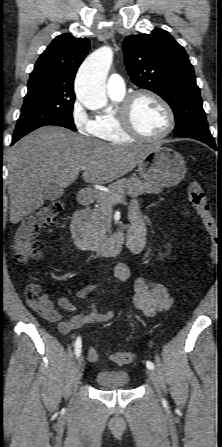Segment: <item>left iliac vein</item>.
<instances>
[{
	"label": "left iliac vein",
	"mask_w": 222,
	"mask_h": 447,
	"mask_svg": "<svg viewBox=\"0 0 222 447\" xmlns=\"http://www.w3.org/2000/svg\"><path fill=\"white\" fill-rule=\"evenodd\" d=\"M146 373H147L148 377L151 379V381L153 382L158 397H161V387H160V382H159V378H158L157 374L152 369H147Z\"/></svg>",
	"instance_id": "1"
}]
</instances>
